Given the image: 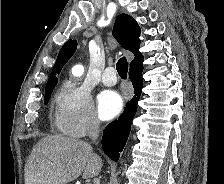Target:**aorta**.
<instances>
[{
  "instance_id": "762f6f07",
  "label": "aorta",
  "mask_w": 224,
  "mask_h": 184,
  "mask_svg": "<svg viewBox=\"0 0 224 184\" xmlns=\"http://www.w3.org/2000/svg\"><path fill=\"white\" fill-rule=\"evenodd\" d=\"M84 68L81 65H77L72 69V74L75 76H81Z\"/></svg>"
}]
</instances>
